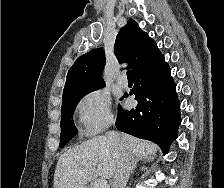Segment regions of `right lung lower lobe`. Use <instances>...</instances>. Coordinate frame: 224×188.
Listing matches in <instances>:
<instances>
[{
	"label": "right lung lower lobe",
	"instance_id": "98d812e1",
	"mask_svg": "<svg viewBox=\"0 0 224 188\" xmlns=\"http://www.w3.org/2000/svg\"><path fill=\"white\" fill-rule=\"evenodd\" d=\"M133 80L130 95H135L138 105L131 111L119 106L116 128L153 141L164 154L168 153L171 143L177 138L181 118L176 87L164 56L152 66L137 72Z\"/></svg>",
	"mask_w": 224,
	"mask_h": 188
}]
</instances>
